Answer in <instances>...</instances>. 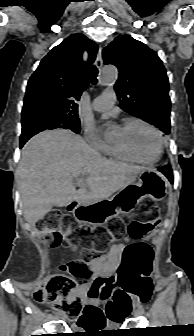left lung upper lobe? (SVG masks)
Masks as SVG:
<instances>
[{
    "mask_svg": "<svg viewBox=\"0 0 194 336\" xmlns=\"http://www.w3.org/2000/svg\"><path fill=\"white\" fill-rule=\"evenodd\" d=\"M103 59L105 64H113L119 70L114 88L120 107L169 134V83L157 53L122 35L104 48Z\"/></svg>",
    "mask_w": 194,
    "mask_h": 336,
    "instance_id": "obj_1",
    "label": "left lung upper lobe"
}]
</instances>
